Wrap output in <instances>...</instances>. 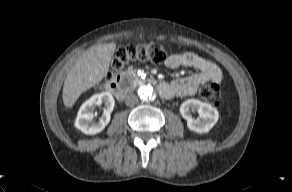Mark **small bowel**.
Here are the masks:
<instances>
[{"mask_svg": "<svg viewBox=\"0 0 292 192\" xmlns=\"http://www.w3.org/2000/svg\"><path fill=\"white\" fill-rule=\"evenodd\" d=\"M165 64L171 69L190 67L198 71L195 74L171 82L169 84L171 88L170 94L165 96V98L175 95H193L200 87L206 84H219L222 81L221 69L212 61L193 52L171 54L167 57Z\"/></svg>", "mask_w": 292, "mask_h": 192, "instance_id": "1", "label": "small bowel"}]
</instances>
